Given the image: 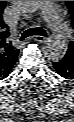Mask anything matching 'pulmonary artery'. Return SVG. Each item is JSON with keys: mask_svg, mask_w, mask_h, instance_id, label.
<instances>
[{"mask_svg": "<svg viewBox=\"0 0 74 122\" xmlns=\"http://www.w3.org/2000/svg\"><path fill=\"white\" fill-rule=\"evenodd\" d=\"M42 14L58 38L66 37L69 34V28L53 1H43Z\"/></svg>", "mask_w": 74, "mask_h": 122, "instance_id": "pulmonary-artery-1", "label": "pulmonary artery"}]
</instances>
